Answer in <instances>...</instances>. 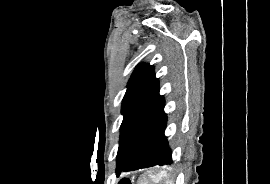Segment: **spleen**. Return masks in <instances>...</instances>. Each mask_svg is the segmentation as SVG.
<instances>
[{"label": "spleen", "instance_id": "3e777b00", "mask_svg": "<svg viewBox=\"0 0 270 184\" xmlns=\"http://www.w3.org/2000/svg\"><path fill=\"white\" fill-rule=\"evenodd\" d=\"M138 184H170V180L166 171L157 174L148 172L139 179Z\"/></svg>", "mask_w": 270, "mask_h": 184}]
</instances>
